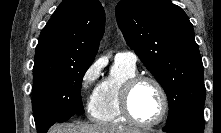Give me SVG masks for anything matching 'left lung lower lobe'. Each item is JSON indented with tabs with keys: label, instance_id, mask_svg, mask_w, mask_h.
Here are the masks:
<instances>
[{
	"label": "left lung lower lobe",
	"instance_id": "0a47b994",
	"mask_svg": "<svg viewBox=\"0 0 221 133\" xmlns=\"http://www.w3.org/2000/svg\"><path fill=\"white\" fill-rule=\"evenodd\" d=\"M204 126L203 107H196L186 111L172 123L166 124L163 131L173 133H203Z\"/></svg>",
	"mask_w": 221,
	"mask_h": 133
}]
</instances>
